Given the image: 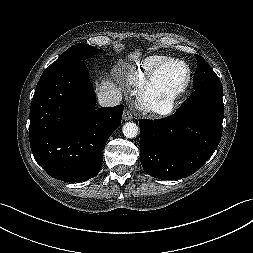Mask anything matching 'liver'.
Here are the masks:
<instances>
[{"mask_svg":"<svg viewBox=\"0 0 253 253\" xmlns=\"http://www.w3.org/2000/svg\"><path fill=\"white\" fill-rule=\"evenodd\" d=\"M140 56L139 51H135V53H131L129 55L130 60H136ZM107 89H117L116 85L110 80H102L101 84L98 86V91H104ZM118 90V89H117Z\"/></svg>","mask_w":253,"mask_h":253,"instance_id":"6515ba94","label":"liver"}]
</instances>
